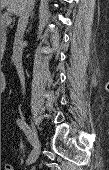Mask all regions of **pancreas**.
<instances>
[{
  "instance_id": "cf45deb5",
  "label": "pancreas",
  "mask_w": 109,
  "mask_h": 170,
  "mask_svg": "<svg viewBox=\"0 0 109 170\" xmlns=\"http://www.w3.org/2000/svg\"><path fill=\"white\" fill-rule=\"evenodd\" d=\"M6 33H7V28L6 26H1V41L2 44L4 45L6 42Z\"/></svg>"
}]
</instances>
